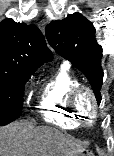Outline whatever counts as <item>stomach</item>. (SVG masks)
Masks as SVG:
<instances>
[{
	"label": "stomach",
	"instance_id": "0dacf381",
	"mask_svg": "<svg viewBox=\"0 0 114 156\" xmlns=\"http://www.w3.org/2000/svg\"><path fill=\"white\" fill-rule=\"evenodd\" d=\"M74 156H94L88 147H84L81 151H79Z\"/></svg>",
	"mask_w": 114,
	"mask_h": 156
}]
</instances>
